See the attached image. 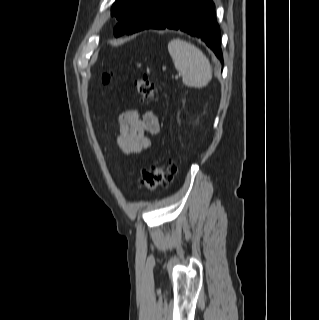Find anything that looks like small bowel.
Here are the masks:
<instances>
[{
	"instance_id": "c3829d8e",
	"label": "small bowel",
	"mask_w": 319,
	"mask_h": 320,
	"mask_svg": "<svg viewBox=\"0 0 319 320\" xmlns=\"http://www.w3.org/2000/svg\"><path fill=\"white\" fill-rule=\"evenodd\" d=\"M159 131L158 117L154 112L133 109L119 117L115 139L124 154H136L148 149L151 146V137Z\"/></svg>"
}]
</instances>
